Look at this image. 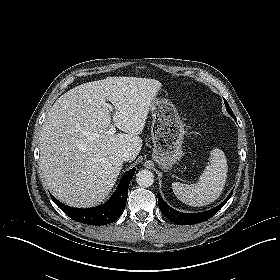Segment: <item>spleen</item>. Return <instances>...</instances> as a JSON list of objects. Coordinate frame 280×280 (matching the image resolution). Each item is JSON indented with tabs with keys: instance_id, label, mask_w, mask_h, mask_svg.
<instances>
[{
	"instance_id": "spleen-1",
	"label": "spleen",
	"mask_w": 280,
	"mask_h": 280,
	"mask_svg": "<svg viewBox=\"0 0 280 280\" xmlns=\"http://www.w3.org/2000/svg\"><path fill=\"white\" fill-rule=\"evenodd\" d=\"M210 165L206 166L198 182L183 184L174 182L172 189L177 198L190 206H206L221 195L227 178L228 166L224 152L213 149L210 152Z\"/></svg>"
}]
</instances>
